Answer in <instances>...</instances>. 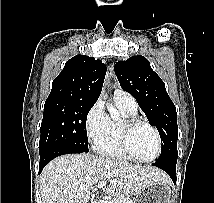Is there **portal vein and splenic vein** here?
Instances as JSON below:
<instances>
[{"label":"portal vein and splenic vein","instance_id":"portal-vein-and-splenic-vein-1","mask_svg":"<svg viewBox=\"0 0 214 203\" xmlns=\"http://www.w3.org/2000/svg\"><path fill=\"white\" fill-rule=\"evenodd\" d=\"M106 182L105 181H101L97 184V188L100 189V188H103L104 186H106ZM68 193V191H64V194ZM98 203H113V201H110V200H98Z\"/></svg>","mask_w":214,"mask_h":203}]
</instances>
